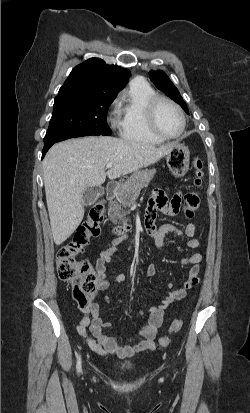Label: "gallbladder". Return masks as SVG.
<instances>
[{"label": "gallbladder", "mask_w": 250, "mask_h": 413, "mask_svg": "<svg viewBox=\"0 0 250 413\" xmlns=\"http://www.w3.org/2000/svg\"><path fill=\"white\" fill-rule=\"evenodd\" d=\"M102 192H103L102 187H99V186L87 187L83 192V196H82L83 203L85 205L93 204L98 199V197L100 196Z\"/></svg>", "instance_id": "gallbladder-1"}]
</instances>
